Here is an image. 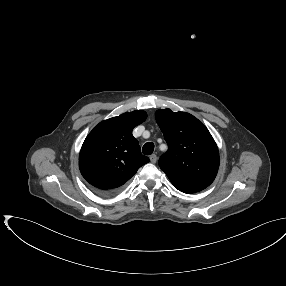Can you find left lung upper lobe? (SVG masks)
<instances>
[{
	"mask_svg": "<svg viewBox=\"0 0 286 286\" xmlns=\"http://www.w3.org/2000/svg\"><path fill=\"white\" fill-rule=\"evenodd\" d=\"M155 118L169 147L159 166L171 183L187 194L208 187L219 168V153L205 125L189 113L170 109L156 111Z\"/></svg>",
	"mask_w": 286,
	"mask_h": 286,
	"instance_id": "1",
	"label": "left lung upper lobe"
}]
</instances>
